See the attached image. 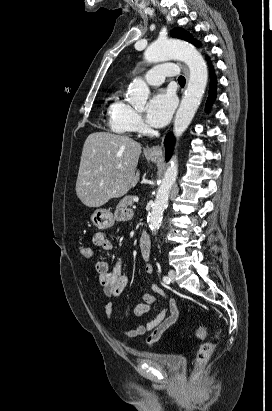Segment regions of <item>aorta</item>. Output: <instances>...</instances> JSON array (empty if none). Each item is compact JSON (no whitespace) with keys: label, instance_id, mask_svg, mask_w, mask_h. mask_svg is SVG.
I'll use <instances>...</instances> for the list:
<instances>
[{"label":"aorta","instance_id":"obj_1","mask_svg":"<svg viewBox=\"0 0 272 411\" xmlns=\"http://www.w3.org/2000/svg\"><path fill=\"white\" fill-rule=\"evenodd\" d=\"M147 62H160L177 58L189 67L190 78L176 112L173 132L178 139L192 121L205 92L208 81V69L202 55L189 43L166 39L152 43L144 53ZM149 95V88L141 79H134L127 92V100L135 109H143ZM178 174L177 156L173 155L158 188L152 210L149 214V223L153 231L160 228L163 212L167 207L170 191Z\"/></svg>","mask_w":272,"mask_h":411}]
</instances>
